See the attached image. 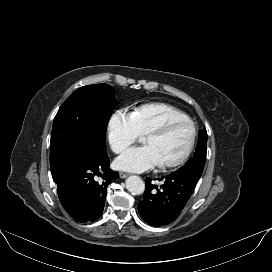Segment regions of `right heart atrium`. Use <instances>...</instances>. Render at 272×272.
I'll use <instances>...</instances> for the list:
<instances>
[{
  "label": "right heart atrium",
  "mask_w": 272,
  "mask_h": 272,
  "mask_svg": "<svg viewBox=\"0 0 272 272\" xmlns=\"http://www.w3.org/2000/svg\"><path fill=\"white\" fill-rule=\"evenodd\" d=\"M107 141L115 153H120L137 140L138 131L132 112L117 109L109 117L106 126Z\"/></svg>",
  "instance_id": "right-heart-atrium-1"
}]
</instances>
